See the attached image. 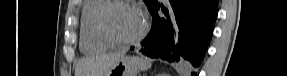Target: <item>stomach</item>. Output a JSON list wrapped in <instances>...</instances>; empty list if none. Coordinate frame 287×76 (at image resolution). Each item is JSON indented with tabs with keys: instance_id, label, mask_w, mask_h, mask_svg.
<instances>
[{
	"instance_id": "obj_1",
	"label": "stomach",
	"mask_w": 287,
	"mask_h": 76,
	"mask_svg": "<svg viewBox=\"0 0 287 76\" xmlns=\"http://www.w3.org/2000/svg\"><path fill=\"white\" fill-rule=\"evenodd\" d=\"M141 69L134 57L123 56L105 76H137Z\"/></svg>"
}]
</instances>
